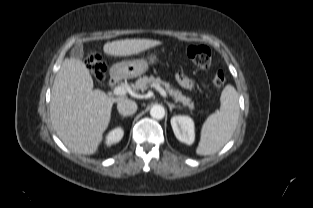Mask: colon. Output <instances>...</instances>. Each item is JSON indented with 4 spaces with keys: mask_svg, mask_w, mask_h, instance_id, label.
Segmentation results:
<instances>
[{
    "mask_svg": "<svg viewBox=\"0 0 313 208\" xmlns=\"http://www.w3.org/2000/svg\"><path fill=\"white\" fill-rule=\"evenodd\" d=\"M188 58L200 69H209L212 64V54L210 49L204 45H192L187 48ZM86 62L93 76L97 80H102L105 76V65L101 57L95 52H89L86 56ZM213 82L217 87L226 83V77L223 71L219 70L214 74Z\"/></svg>",
    "mask_w": 313,
    "mask_h": 208,
    "instance_id": "5ec220e1",
    "label": "colon"
}]
</instances>
